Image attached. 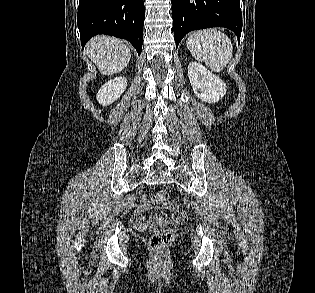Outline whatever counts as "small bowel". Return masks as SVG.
<instances>
[{
  "label": "small bowel",
  "mask_w": 315,
  "mask_h": 293,
  "mask_svg": "<svg viewBox=\"0 0 315 293\" xmlns=\"http://www.w3.org/2000/svg\"><path fill=\"white\" fill-rule=\"evenodd\" d=\"M158 207H161V205L153 203L152 201L148 200L146 195H144L132 217V222L135 227L143 230L146 229L148 226L150 230H161V223L165 219H167V215L165 213H155L151 215L148 220H146L144 217L145 212L149 211L152 208Z\"/></svg>",
  "instance_id": "small-bowel-1"
}]
</instances>
